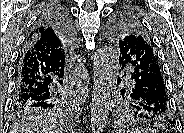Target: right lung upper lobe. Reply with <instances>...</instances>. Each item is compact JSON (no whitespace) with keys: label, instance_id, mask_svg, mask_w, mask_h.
I'll return each mask as SVG.
<instances>
[{"label":"right lung upper lobe","instance_id":"obj_1","mask_svg":"<svg viewBox=\"0 0 184 133\" xmlns=\"http://www.w3.org/2000/svg\"><path fill=\"white\" fill-rule=\"evenodd\" d=\"M34 42L37 49L47 54H60L68 47L67 37L49 23H37L26 39L25 45Z\"/></svg>","mask_w":184,"mask_h":133}]
</instances>
